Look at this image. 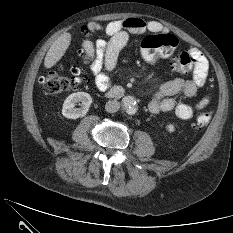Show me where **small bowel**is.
<instances>
[{
    "label": "small bowel",
    "instance_id": "small-bowel-1",
    "mask_svg": "<svg viewBox=\"0 0 233 233\" xmlns=\"http://www.w3.org/2000/svg\"><path fill=\"white\" fill-rule=\"evenodd\" d=\"M162 28L163 26L157 21L146 22L140 18L114 20L105 26L97 23L89 24L87 27L89 31L102 32L108 37V40L98 39L95 45L89 40L83 42L84 49L90 54V70L96 87L102 92L109 88L110 74L117 65L120 51L126 46L131 35L143 34L146 31L158 32ZM188 53L193 59L191 78H175L162 84L148 104L151 113L174 112L179 119L187 120L195 112L210 104V95L202 97L193 106L176 102L174 99V96L180 93L185 97H193L208 80L209 62L206 56L194 47L190 48Z\"/></svg>",
    "mask_w": 233,
    "mask_h": 233
}]
</instances>
